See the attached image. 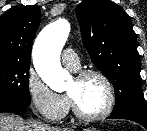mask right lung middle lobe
<instances>
[{
	"label": "right lung middle lobe",
	"mask_w": 147,
	"mask_h": 131,
	"mask_svg": "<svg viewBox=\"0 0 147 131\" xmlns=\"http://www.w3.org/2000/svg\"><path fill=\"white\" fill-rule=\"evenodd\" d=\"M30 64L0 61V101L30 105Z\"/></svg>",
	"instance_id": "obj_1"
}]
</instances>
